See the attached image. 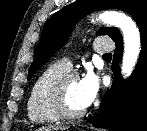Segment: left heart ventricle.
<instances>
[{"label": "left heart ventricle", "mask_w": 147, "mask_h": 131, "mask_svg": "<svg viewBox=\"0 0 147 131\" xmlns=\"http://www.w3.org/2000/svg\"><path fill=\"white\" fill-rule=\"evenodd\" d=\"M79 81L80 79H74L70 81V83L67 86V104L69 108L74 111L82 110L85 108L81 101Z\"/></svg>", "instance_id": "b2bd125f"}]
</instances>
